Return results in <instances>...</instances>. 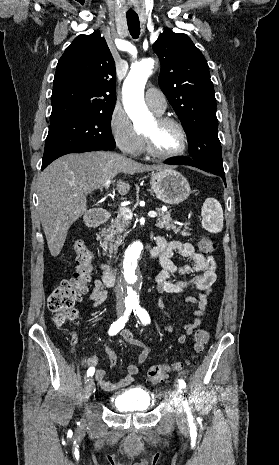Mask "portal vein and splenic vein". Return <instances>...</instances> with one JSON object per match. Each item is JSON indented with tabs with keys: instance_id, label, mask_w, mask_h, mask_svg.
I'll return each instance as SVG.
<instances>
[{
	"instance_id": "18ae733b",
	"label": "portal vein and splenic vein",
	"mask_w": 279,
	"mask_h": 465,
	"mask_svg": "<svg viewBox=\"0 0 279 465\" xmlns=\"http://www.w3.org/2000/svg\"><path fill=\"white\" fill-rule=\"evenodd\" d=\"M110 184H111V180H107V181L105 182L104 187H105L106 190H108ZM119 211H120V214H121L124 218H126V219H128V220H129V219H132L133 214H132L131 210H130L128 207H126V206L120 207V208H119ZM148 216H149L150 218H156V217H157V213H156L155 211H150V212L148 213Z\"/></svg>"
}]
</instances>
